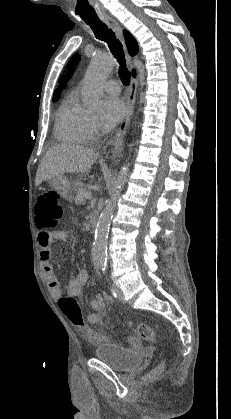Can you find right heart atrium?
Returning <instances> with one entry per match:
<instances>
[{
  "mask_svg": "<svg viewBox=\"0 0 231 419\" xmlns=\"http://www.w3.org/2000/svg\"><path fill=\"white\" fill-rule=\"evenodd\" d=\"M100 129L95 120L90 119L88 123V136L93 137L99 133Z\"/></svg>",
  "mask_w": 231,
  "mask_h": 419,
  "instance_id": "1",
  "label": "right heart atrium"
}]
</instances>
